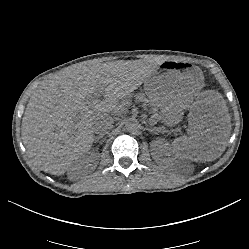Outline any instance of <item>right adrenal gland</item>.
<instances>
[{
    "instance_id": "2a0ac1e0",
    "label": "right adrenal gland",
    "mask_w": 249,
    "mask_h": 249,
    "mask_svg": "<svg viewBox=\"0 0 249 249\" xmlns=\"http://www.w3.org/2000/svg\"><path fill=\"white\" fill-rule=\"evenodd\" d=\"M104 135H105V134L100 133V134H98L97 136H95V138H94V140H93V143L98 142L101 138L104 137Z\"/></svg>"
}]
</instances>
